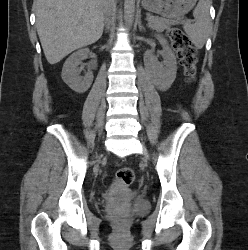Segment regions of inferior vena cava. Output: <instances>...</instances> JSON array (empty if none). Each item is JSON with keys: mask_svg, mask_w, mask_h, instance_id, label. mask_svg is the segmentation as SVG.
<instances>
[{"mask_svg": "<svg viewBox=\"0 0 248 250\" xmlns=\"http://www.w3.org/2000/svg\"><path fill=\"white\" fill-rule=\"evenodd\" d=\"M110 10H111V8H110V0H106L105 5H104V13L106 15V22L105 23H106L107 27H109V25H110V20L107 17L109 15V13H110Z\"/></svg>", "mask_w": 248, "mask_h": 250, "instance_id": "inferior-vena-cava-1", "label": "inferior vena cava"}]
</instances>
